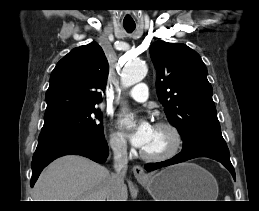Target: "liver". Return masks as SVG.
<instances>
[{
	"label": "liver",
	"mask_w": 259,
	"mask_h": 211,
	"mask_svg": "<svg viewBox=\"0 0 259 211\" xmlns=\"http://www.w3.org/2000/svg\"><path fill=\"white\" fill-rule=\"evenodd\" d=\"M111 174L104 166L88 158L67 155L53 161L39 176L34 201H107ZM119 199L127 201V186Z\"/></svg>",
	"instance_id": "obj_1"
}]
</instances>
